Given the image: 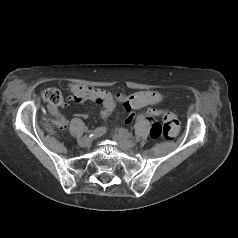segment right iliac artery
Returning <instances> with one entry per match:
<instances>
[{"label": "right iliac artery", "instance_id": "82829eb1", "mask_svg": "<svg viewBox=\"0 0 238 238\" xmlns=\"http://www.w3.org/2000/svg\"><path fill=\"white\" fill-rule=\"evenodd\" d=\"M106 131H107V128H106V127L96 128L93 132L90 133L89 137H91V138L100 137V136H102L103 134H105Z\"/></svg>", "mask_w": 238, "mask_h": 238}]
</instances>
